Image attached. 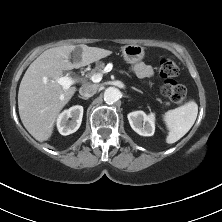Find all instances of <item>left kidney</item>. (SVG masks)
<instances>
[{"label":"left kidney","instance_id":"left-kidney-1","mask_svg":"<svg viewBox=\"0 0 222 222\" xmlns=\"http://www.w3.org/2000/svg\"><path fill=\"white\" fill-rule=\"evenodd\" d=\"M132 129L142 136H152L155 132V114L147 115L143 111H134L128 114Z\"/></svg>","mask_w":222,"mask_h":222}]
</instances>
